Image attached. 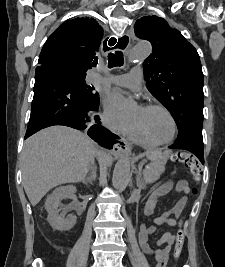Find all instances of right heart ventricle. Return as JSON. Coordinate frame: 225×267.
<instances>
[{
	"mask_svg": "<svg viewBox=\"0 0 225 267\" xmlns=\"http://www.w3.org/2000/svg\"><path fill=\"white\" fill-rule=\"evenodd\" d=\"M125 136L133 143L143 145V146H151L148 144L136 131L134 126L129 129V131L125 134Z\"/></svg>",
	"mask_w": 225,
	"mask_h": 267,
	"instance_id": "right-heart-ventricle-1",
	"label": "right heart ventricle"
}]
</instances>
